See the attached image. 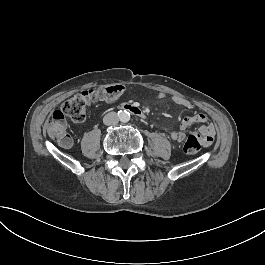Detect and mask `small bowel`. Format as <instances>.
Wrapping results in <instances>:
<instances>
[{"mask_svg":"<svg viewBox=\"0 0 265 265\" xmlns=\"http://www.w3.org/2000/svg\"><path fill=\"white\" fill-rule=\"evenodd\" d=\"M156 97L164 98L165 94L160 92L157 94ZM172 101L177 106L183 107L187 110L194 109V105L190 101L184 99L183 97L173 96ZM196 124L200 125L199 132L196 133L195 131H192V130L190 132L188 130L186 132L183 131L185 128L190 127L192 125H196ZM180 128L181 130H176L171 133V138L175 142H181L185 138V133L187 135L190 133L193 136L196 135L197 137H200L199 141L201 143L204 142L202 146L205 148L207 145H210L214 139L215 127L209 121L207 115L204 113H197L191 116L183 117L180 121Z\"/></svg>","mask_w":265,"mask_h":265,"instance_id":"small-bowel-1","label":"small bowel"}]
</instances>
